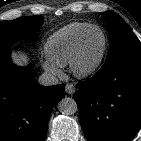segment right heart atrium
<instances>
[{"label": "right heart atrium", "instance_id": "d8ad5b80", "mask_svg": "<svg viewBox=\"0 0 141 141\" xmlns=\"http://www.w3.org/2000/svg\"><path fill=\"white\" fill-rule=\"evenodd\" d=\"M42 65L44 70L47 71L48 73L52 75H60L61 71L59 66L52 62L51 60L49 59L44 60Z\"/></svg>", "mask_w": 141, "mask_h": 141}]
</instances>
